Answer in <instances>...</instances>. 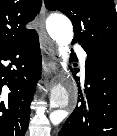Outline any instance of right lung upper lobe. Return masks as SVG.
<instances>
[{"mask_svg":"<svg viewBox=\"0 0 117 136\" xmlns=\"http://www.w3.org/2000/svg\"><path fill=\"white\" fill-rule=\"evenodd\" d=\"M40 7L41 0H0V50L35 32L25 25L34 20Z\"/></svg>","mask_w":117,"mask_h":136,"instance_id":"1","label":"right lung upper lobe"}]
</instances>
